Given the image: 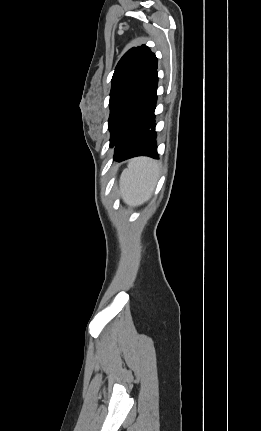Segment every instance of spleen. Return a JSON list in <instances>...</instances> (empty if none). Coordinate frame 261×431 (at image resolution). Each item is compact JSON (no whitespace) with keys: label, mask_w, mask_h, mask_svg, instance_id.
<instances>
[{"label":"spleen","mask_w":261,"mask_h":431,"mask_svg":"<svg viewBox=\"0 0 261 431\" xmlns=\"http://www.w3.org/2000/svg\"><path fill=\"white\" fill-rule=\"evenodd\" d=\"M160 166L153 160L138 158L128 164L120 177V194L131 206L146 202L157 183Z\"/></svg>","instance_id":"3e777b00"}]
</instances>
